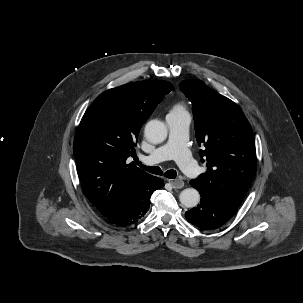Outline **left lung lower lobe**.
I'll use <instances>...</instances> for the list:
<instances>
[{
    "instance_id": "1",
    "label": "left lung lower lobe",
    "mask_w": 303,
    "mask_h": 303,
    "mask_svg": "<svg viewBox=\"0 0 303 303\" xmlns=\"http://www.w3.org/2000/svg\"><path fill=\"white\" fill-rule=\"evenodd\" d=\"M201 195V203L185 213L186 219L191 224L201 229H214L226 223L239 208L227 198L212 191L201 190L190 181Z\"/></svg>"
}]
</instances>
